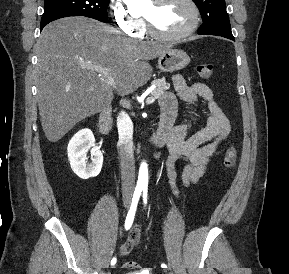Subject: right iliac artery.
Here are the masks:
<instances>
[{"instance_id":"1","label":"right iliac artery","mask_w":289,"mask_h":274,"mask_svg":"<svg viewBox=\"0 0 289 274\" xmlns=\"http://www.w3.org/2000/svg\"><path fill=\"white\" fill-rule=\"evenodd\" d=\"M141 192H142V188H136L135 191H134V195H133V198H132V203H131L129 212L127 214L126 220H125V229L126 230L130 229V227L133 224L134 216H135V212H136V209H137L139 198L141 196ZM116 261H117L116 257H113L112 260H111V265L112 266L115 265Z\"/></svg>"}]
</instances>
